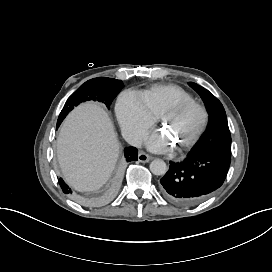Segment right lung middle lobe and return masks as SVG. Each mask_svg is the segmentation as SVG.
<instances>
[{
    "label": "right lung middle lobe",
    "instance_id": "obj_1",
    "mask_svg": "<svg viewBox=\"0 0 272 272\" xmlns=\"http://www.w3.org/2000/svg\"><path fill=\"white\" fill-rule=\"evenodd\" d=\"M123 86L124 84L121 80L113 78L99 77L88 80L68 98L57 122L61 123L74 106L84 101L97 100L103 102L107 108H110L113 99Z\"/></svg>",
    "mask_w": 272,
    "mask_h": 272
}]
</instances>
